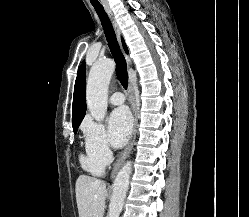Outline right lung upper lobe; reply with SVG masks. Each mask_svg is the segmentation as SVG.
<instances>
[{
  "label": "right lung upper lobe",
  "instance_id": "right-lung-upper-lobe-1",
  "mask_svg": "<svg viewBox=\"0 0 249 217\" xmlns=\"http://www.w3.org/2000/svg\"><path fill=\"white\" fill-rule=\"evenodd\" d=\"M123 47L128 52L124 40L122 39ZM85 71L82 66L79 67L77 78L74 86L73 107H72V125L79 126L86 112L85 98Z\"/></svg>",
  "mask_w": 249,
  "mask_h": 217
}]
</instances>
